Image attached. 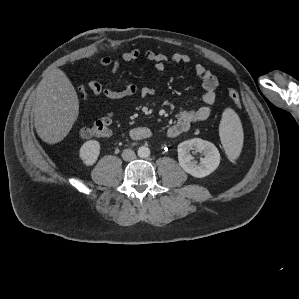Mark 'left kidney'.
<instances>
[{"mask_svg": "<svg viewBox=\"0 0 299 299\" xmlns=\"http://www.w3.org/2000/svg\"><path fill=\"white\" fill-rule=\"evenodd\" d=\"M198 150L204 153L200 163L193 160L189 150ZM178 161L185 172L196 178H203L211 174L220 163V154L217 147L200 138H194L181 142L178 145Z\"/></svg>", "mask_w": 299, "mask_h": 299, "instance_id": "5707ae66", "label": "left kidney"}]
</instances>
